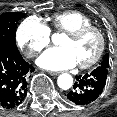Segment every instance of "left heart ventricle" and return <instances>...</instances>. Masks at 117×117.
I'll list each match as a JSON object with an SVG mask.
<instances>
[{
    "mask_svg": "<svg viewBox=\"0 0 117 117\" xmlns=\"http://www.w3.org/2000/svg\"><path fill=\"white\" fill-rule=\"evenodd\" d=\"M60 44L72 51L79 64L88 61L94 56L99 46V37L93 31L79 38H71L65 35L61 39Z\"/></svg>",
    "mask_w": 117,
    "mask_h": 117,
    "instance_id": "left-heart-ventricle-1",
    "label": "left heart ventricle"
}]
</instances>
